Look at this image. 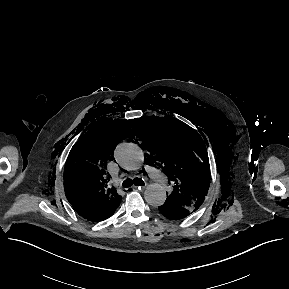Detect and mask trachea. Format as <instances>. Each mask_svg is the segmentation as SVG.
I'll use <instances>...</instances> for the list:
<instances>
[{
  "instance_id": "1",
  "label": "trachea",
  "mask_w": 289,
  "mask_h": 289,
  "mask_svg": "<svg viewBox=\"0 0 289 289\" xmlns=\"http://www.w3.org/2000/svg\"><path fill=\"white\" fill-rule=\"evenodd\" d=\"M133 184L136 186H142V185H144V181L141 178H135V179L128 178V179L123 181L122 186L124 188H128V187L132 186Z\"/></svg>"
}]
</instances>
